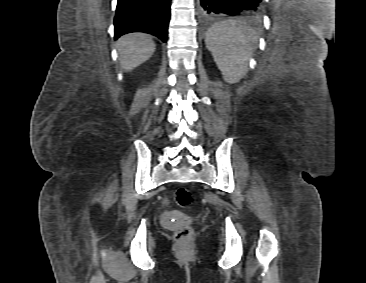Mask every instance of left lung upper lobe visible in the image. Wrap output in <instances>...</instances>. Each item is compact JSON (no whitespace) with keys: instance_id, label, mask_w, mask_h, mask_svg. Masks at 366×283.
<instances>
[{"instance_id":"5c2ea615","label":"left lung upper lobe","mask_w":366,"mask_h":283,"mask_svg":"<svg viewBox=\"0 0 366 283\" xmlns=\"http://www.w3.org/2000/svg\"><path fill=\"white\" fill-rule=\"evenodd\" d=\"M251 15L255 16V17H258L261 15V10L258 11V12H254V13H250Z\"/></svg>"}]
</instances>
